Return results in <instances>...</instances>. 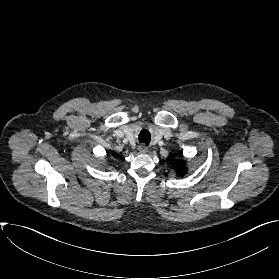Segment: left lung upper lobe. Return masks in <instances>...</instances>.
Wrapping results in <instances>:
<instances>
[{"label":"left lung upper lobe","mask_w":279,"mask_h":279,"mask_svg":"<svg viewBox=\"0 0 279 279\" xmlns=\"http://www.w3.org/2000/svg\"><path fill=\"white\" fill-rule=\"evenodd\" d=\"M174 165L178 175H184L187 172L184 163L178 162V163H174Z\"/></svg>","instance_id":"obj_1"}]
</instances>
